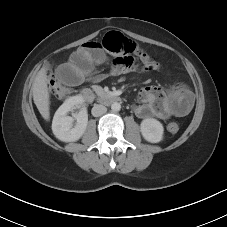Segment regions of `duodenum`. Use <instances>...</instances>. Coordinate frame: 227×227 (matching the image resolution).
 <instances>
[{
    "label": "duodenum",
    "mask_w": 227,
    "mask_h": 227,
    "mask_svg": "<svg viewBox=\"0 0 227 227\" xmlns=\"http://www.w3.org/2000/svg\"><path fill=\"white\" fill-rule=\"evenodd\" d=\"M80 95L82 99L87 103L99 101L101 103L109 104V103H115V102L121 101V97L119 95L112 94V93L96 94L93 90L89 88L83 89Z\"/></svg>",
    "instance_id": "1"
}]
</instances>
